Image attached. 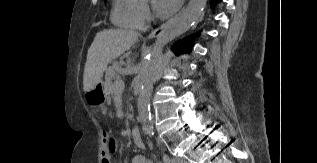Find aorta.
<instances>
[{"label": "aorta", "instance_id": "aorta-1", "mask_svg": "<svg viewBox=\"0 0 317 163\" xmlns=\"http://www.w3.org/2000/svg\"><path fill=\"white\" fill-rule=\"evenodd\" d=\"M207 0H190L183 13L172 19L161 31L141 70V88L138 97V113L141 124L151 125L150 98L156 81L159 60L163 47L188 31L202 14Z\"/></svg>", "mask_w": 317, "mask_h": 163}]
</instances>
